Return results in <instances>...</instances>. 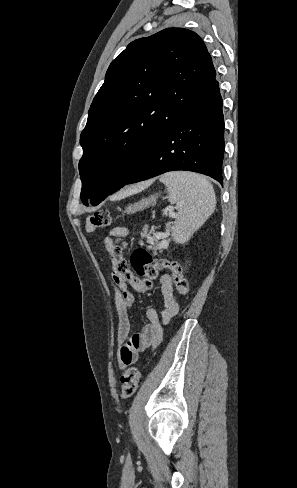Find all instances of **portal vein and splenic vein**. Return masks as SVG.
<instances>
[{
    "label": "portal vein and splenic vein",
    "instance_id": "1",
    "mask_svg": "<svg viewBox=\"0 0 297 488\" xmlns=\"http://www.w3.org/2000/svg\"><path fill=\"white\" fill-rule=\"evenodd\" d=\"M167 211H171L170 210V207L166 208L165 212H167ZM170 214H171V216H173V213L172 212Z\"/></svg>",
    "mask_w": 297,
    "mask_h": 488
}]
</instances>
